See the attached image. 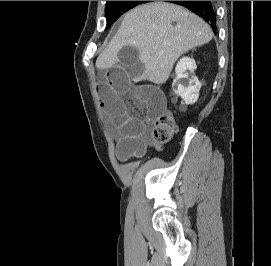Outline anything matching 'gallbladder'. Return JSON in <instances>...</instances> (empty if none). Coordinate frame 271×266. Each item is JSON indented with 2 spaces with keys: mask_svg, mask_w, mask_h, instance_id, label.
I'll use <instances>...</instances> for the list:
<instances>
[{
  "mask_svg": "<svg viewBox=\"0 0 271 266\" xmlns=\"http://www.w3.org/2000/svg\"><path fill=\"white\" fill-rule=\"evenodd\" d=\"M118 65L129 79H134L144 72V64L139 59V52L133 46H125L118 53Z\"/></svg>",
  "mask_w": 271,
  "mask_h": 266,
  "instance_id": "obj_1",
  "label": "gallbladder"
}]
</instances>
